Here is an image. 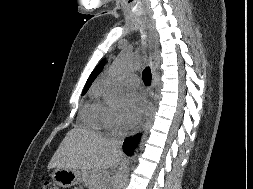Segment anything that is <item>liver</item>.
I'll list each match as a JSON object with an SVG mask.
<instances>
[{
	"instance_id": "liver-1",
	"label": "liver",
	"mask_w": 253,
	"mask_h": 189,
	"mask_svg": "<svg viewBox=\"0 0 253 189\" xmlns=\"http://www.w3.org/2000/svg\"><path fill=\"white\" fill-rule=\"evenodd\" d=\"M122 157L107 139L90 129L76 127L66 134L48 168L80 169L91 189H109V182L103 183L107 170L115 167Z\"/></svg>"
}]
</instances>
